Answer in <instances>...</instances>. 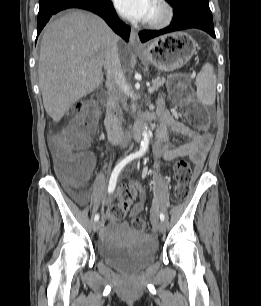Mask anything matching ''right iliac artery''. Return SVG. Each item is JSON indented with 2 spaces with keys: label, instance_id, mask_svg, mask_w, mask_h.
<instances>
[{
  "label": "right iliac artery",
  "instance_id": "82829eb1",
  "mask_svg": "<svg viewBox=\"0 0 261 306\" xmlns=\"http://www.w3.org/2000/svg\"><path fill=\"white\" fill-rule=\"evenodd\" d=\"M135 158L134 155H129L126 158H124L121 162H119L116 167L114 168L111 177H110V181H109V185H108V192L112 193L115 190L116 187V183H117V178L119 176V173L121 172V170L133 159ZM95 221L99 220V214H95L94 217Z\"/></svg>",
  "mask_w": 261,
  "mask_h": 306
}]
</instances>
